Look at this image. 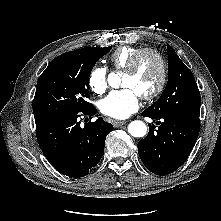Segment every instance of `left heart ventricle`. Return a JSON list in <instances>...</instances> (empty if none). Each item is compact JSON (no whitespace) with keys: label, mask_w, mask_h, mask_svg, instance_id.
I'll use <instances>...</instances> for the list:
<instances>
[{"label":"left heart ventricle","mask_w":221,"mask_h":221,"mask_svg":"<svg viewBox=\"0 0 221 221\" xmlns=\"http://www.w3.org/2000/svg\"><path fill=\"white\" fill-rule=\"evenodd\" d=\"M161 70L156 58L152 55H143L134 74L125 73L122 87H130L139 95L152 92L160 80Z\"/></svg>","instance_id":"b2bd125f"}]
</instances>
